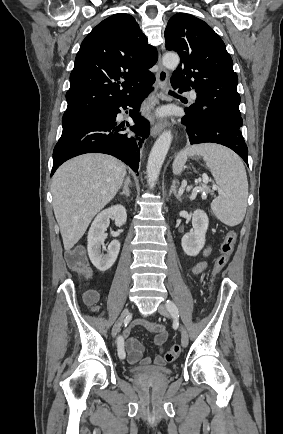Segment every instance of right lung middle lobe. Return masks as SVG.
Here are the masks:
<instances>
[{"label": "right lung middle lobe", "instance_id": "1", "mask_svg": "<svg viewBox=\"0 0 283 434\" xmlns=\"http://www.w3.org/2000/svg\"><path fill=\"white\" fill-rule=\"evenodd\" d=\"M75 121V120H74ZM73 121L72 120H62V125H63V127L64 126H67V125H69L70 123H72Z\"/></svg>", "mask_w": 283, "mask_h": 434}]
</instances>
